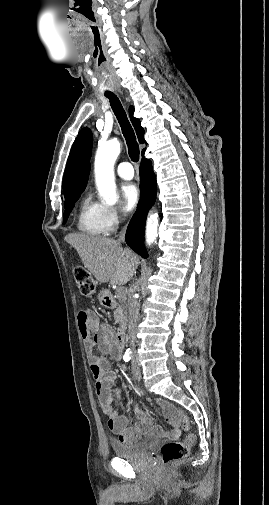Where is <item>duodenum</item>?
I'll list each match as a JSON object with an SVG mask.
<instances>
[{
    "mask_svg": "<svg viewBox=\"0 0 269 505\" xmlns=\"http://www.w3.org/2000/svg\"><path fill=\"white\" fill-rule=\"evenodd\" d=\"M101 299H102L103 304L106 307L110 308L114 305V300H113L112 296L107 292H104L102 294ZM125 337H126V325L124 323H122L118 327L116 334H115V338H116V341L119 344V346H121V347L124 346Z\"/></svg>",
    "mask_w": 269,
    "mask_h": 505,
    "instance_id": "410a0bca",
    "label": "duodenum"
}]
</instances>
